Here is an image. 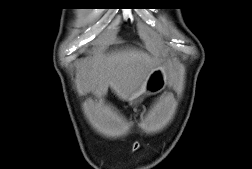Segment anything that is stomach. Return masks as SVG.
I'll use <instances>...</instances> for the list:
<instances>
[{"label":"stomach","mask_w":252,"mask_h":169,"mask_svg":"<svg viewBox=\"0 0 252 169\" xmlns=\"http://www.w3.org/2000/svg\"><path fill=\"white\" fill-rule=\"evenodd\" d=\"M165 85H166V75L164 70L161 68L155 69L150 75L144 91L141 94L134 97L131 100V103L139 101L143 97V95L147 93L151 94L161 91L162 89H164Z\"/></svg>","instance_id":"obj_1"}]
</instances>
